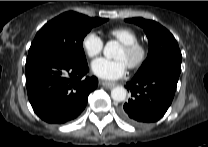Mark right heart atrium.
<instances>
[{
	"instance_id": "right-heart-atrium-1",
	"label": "right heart atrium",
	"mask_w": 208,
	"mask_h": 147,
	"mask_svg": "<svg viewBox=\"0 0 208 147\" xmlns=\"http://www.w3.org/2000/svg\"><path fill=\"white\" fill-rule=\"evenodd\" d=\"M82 47L88 57L98 56L104 47L102 38L95 32H88L82 39Z\"/></svg>"
}]
</instances>
